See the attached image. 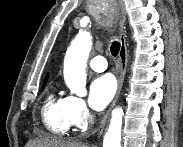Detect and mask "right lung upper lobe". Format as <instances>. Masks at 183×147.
<instances>
[{
  "instance_id": "obj_1",
  "label": "right lung upper lobe",
  "mask_w": 183,
  "mask_h": 147,
  "mask_svg": "<svg viewBox=\"0 0 183 147\" xmlns=\"http://www.w3.org/2000/svg\"><path fill=\"white\" fill-rule=\"evenodd\" d=\"M47 78H48V76L46 77V80H45V82H44V83H46V81H47Z\"/></svg>"
}]
</instances>
